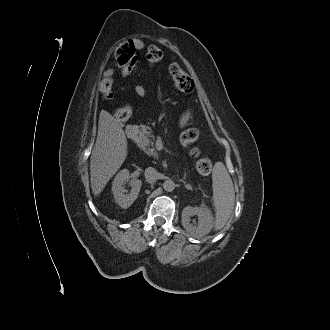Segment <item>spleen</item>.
<instances>
[{
    "label": "spleen",
    "mask_w": 330,
    "mask_h": 330,
    "mask_svg": "<svg viewBox=\"0 0 330 330\" xmlns=\"http://www.w3.org/2000/svg\"><path fill=\"white\" fill-rule=\"evenodd\" d=\"M213 205L215 208L214 229H222L229 220L235 203L232 179L222 162L215 163L212 171Z\"/></svg>",
    "instance_id": "obj_1"
}]
</instances>
